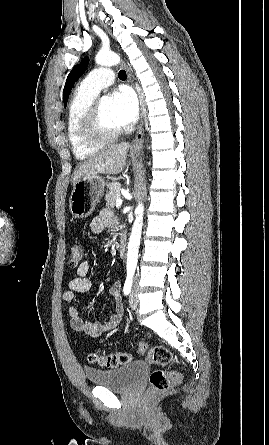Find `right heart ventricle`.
Returning a JSON list of instances; mask_svg holds the SVG:
<instances>
[{
  "label": "right heart ventricle",
  "instance_id": "e07e8e85",
  "mask_svg": "<svg viewBox=\"0 0 269 445\" xmlns=\"http://www.w3.org/2000/svg\"><path fill=\"white\" fill-rule=\"evenodd\" d=\"M96 96L80 88L73 95L67 112V137L71 150L78 160H86L98 153L104 144H90L80 134V121Z\"/></svg>",
  "mask_w": 269,
  "mask_h": 445
}]
</instances>
